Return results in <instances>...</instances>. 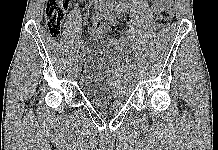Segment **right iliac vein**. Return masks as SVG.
<instances>
[{"label":"right iliac vein","mask_w":218,"mask_h":150,"mask_svg":"<svg viewBox=\"0 0 218 150\" xmlns=\"http://www.w3.org/2000/svg\"><path fill=\"white\" fill-rule=\"evenodd\" d=\"M80 60H81V57H79ZM80 60L78 61L79 62V66H77V70H79V67H80Z\"/></svg>","instance_id":"63e3f726"}]
</instances>
